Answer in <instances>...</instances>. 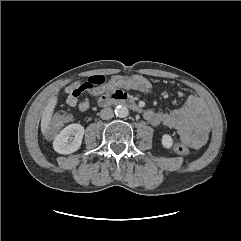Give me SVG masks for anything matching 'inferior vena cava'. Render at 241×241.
Masks as SVG:
<instances>
[{
    "label": "inferior vena cava",
    "instance_id": "1",
    "mask_svg": "<svg viewBox=\"0 0 241 241\" xmlns=\"http://www.w3.org/2000/svg\"><path fill=\"white\" fill-rule=\"evenodd\" d=\"M113 116H114V113L110 107L104 108L100 111V117L103 120L111 119Z\"/></svg>",
    "mask_w": 241,
    "mask_h": 241
}]
</instances>
